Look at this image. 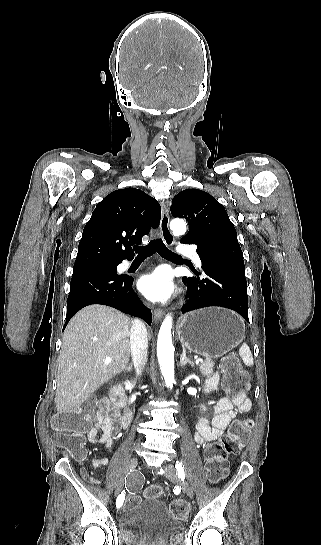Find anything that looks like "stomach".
I'll list each match as a JSON object with an SVG mask.
<instances>
[{
    "instance_id": "stomach-1",
    "label": "stomach",
    "mask_w": 321,
    "mask_h": 545,
    "mask_svg": "<svg viewBox=\"0 0 321 545\" xmlns=\"http://www.w3.org/2000/svg\"><path fill=\"white\" fill-rule=\"evenodd\" d=\"M178 339L189 351L204 357H223L245 337V325L233 311L209 307L186 313L177 325Z\"/></svg>"
}]
</instances>
